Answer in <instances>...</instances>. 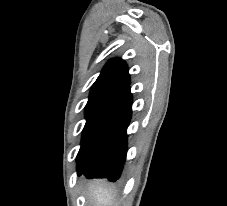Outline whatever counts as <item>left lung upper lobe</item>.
Returning a JSON list of instances; mask_svg holds the SVG:
<instances>
[{
	"instance_id": "5c2ea615",
	"label": "left lung upper lobe",
	"mask_w": 227,
	"mask_h": 206,
	"mask_svg": "<svg viewBox=\"0 0 227 206\" xmlns=\"http://www.w3.org/2000/svg\"><path fill=\"white\" fill-rule=\"evenodd\" d=\"M129 84L130 76L124 60L121 58L109 60L91 87L85 107L86 124L77 155V164L89 153L93 134L106 108Z\"/></svg>"
}]
</instances>
